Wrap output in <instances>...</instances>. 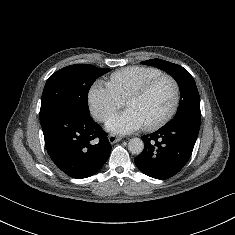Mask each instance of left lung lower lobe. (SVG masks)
<instances>
[{
	"mask_svg": "<svg viewBox=\"0 0 235 235\" xmlns=\"http://www.w3.org/2000/svg\"><path fill=\"white\" fill-rule=\"evenodd\" d=\"M200 122L196 118H186L142 136L144 150L135 158L136 166L145 175L156 179L177 174L192 154Z\"/></svg>",
	"mask_w": 235,
	"mask_h": 235,
	"instance_id": "obj_1",
	"label": "left lung lower lobe"
}]
</instances>
